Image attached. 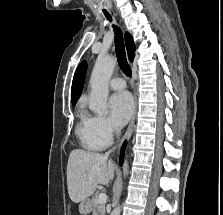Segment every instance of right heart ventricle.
<instances>
[{"label": "right heart ventricle", "instance_id": "right-heart-ventricle-1", "mask_svg": "<svg viewBox=\"0 0 223 215\" xmlns=\"http://www.w3.org/2000/svg\"><path fill=\"white\" fill-rule=\"evenodd\" d=\"M76 134L85 148L94 151L103 150L107 142L102 140L92 125V116L81 106L77 112Z\"/></svg>", "mask_w": 223, "mask_h": 215}]
</instances>
